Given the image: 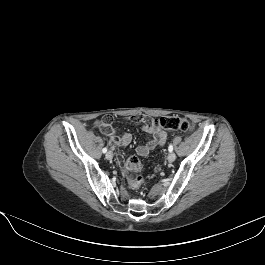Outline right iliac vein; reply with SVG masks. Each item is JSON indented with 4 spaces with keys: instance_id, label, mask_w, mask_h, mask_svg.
<instances>
[{
    "instance_id": "1",
    "label": "right iliac vein",
    "mask_w": 265,
    "mask_h": 265,
    "mask_svg": "<svg viewBox=\"0 0 265 265\" xmlns=\"http://www.w3.org/2000/svg\"><path fill=\"white\" fill-rule=\"evenodd\" d=\"M106 159L107 160H112L113 159V153L111 151L106 153Z\"/></svg>"
}]
</instances>
